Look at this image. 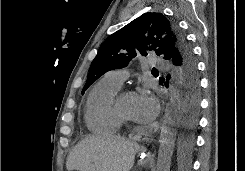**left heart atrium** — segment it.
<instances>
[{
  "label": "left heart atrium",
  "instance_id": "1",
  "mask_svg": "<svg viewBox=\"0 0 245 171\" xmlns=\"http://www.w3.org/2000/svg\"><path fill=\"white\" fill-rule=\"evenodd\" d=\"M158 110L156 98L151 93H141L135 96L132 118L140 123H148L156 117Z\"/></svg>",
  "mask_w": 245,
  "mask_h": 171
}]
</instances>
